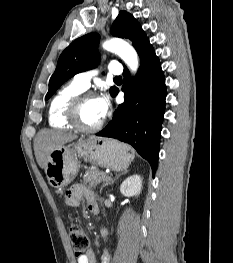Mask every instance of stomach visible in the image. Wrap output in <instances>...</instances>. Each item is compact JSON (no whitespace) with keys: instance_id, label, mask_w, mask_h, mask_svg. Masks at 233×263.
Wrapping results in <instances>:
<instances>
[{"instance_id":"obj_1","label":"stomach","mask_w":233,"mask_h":263,"mask_svg":"<svg viewBox=\"0 0 233 263\" xmlns=\"http://www.w3.org/2000/svg\"><path fill=\"white\" fill-rule=\"evenodd\" d=\"M78 158L123 171L134 159V152L126 144L97 137H82L76 143L63 144L52 151L47 160L45 173L49 184L54 188L67 186L78 173Z\"/></svg>"}]
</instances>
